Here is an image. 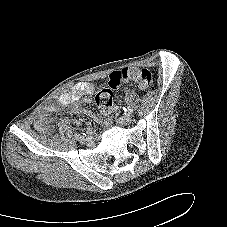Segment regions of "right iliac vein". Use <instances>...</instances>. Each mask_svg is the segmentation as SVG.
Listing matches in <instances>:
<instances>
[{"label": "right iliac vein", "instance_id": "1", "mask_svg": "<svg viewBox=\"0 0 227 227\" xmlns=\"http://www.w3.org/2000/svg\"><path fill=\"white\" fill-rule=\"evenodd\" d=\"M78 140L83 143L87 141V138L81 135Z\"/></svg>", "mask_w": 227, "mask_h": 227}]
</instances>
